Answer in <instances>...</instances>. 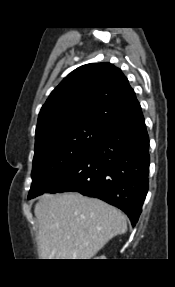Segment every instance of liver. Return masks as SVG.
I'll return each instance as SVG.
<instances>
[{
  "label": "liver",
  "mask_w": 175,
  "mask_h": 287,
  "mask_svg": "<svg viewBox=\"0 0 175 287\" xmlns=\"http://www.w3.org/2000/svg\"><path fill=\"white\" fill-rule=\"evenodd\" d=\"M41 259H91L127 231L126 216L78 193L43 195L35 206Z\"/></svg>",
  "instance_id": "obj_1"
}]
</instances>
